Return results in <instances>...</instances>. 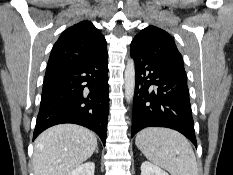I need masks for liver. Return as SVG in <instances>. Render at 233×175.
I'll return each instance as SVG.
<instances>
[{
    "label": "liver",
    "mask_w": 233,
    "mask_h": 175,
    "mask_svg": "<svg viewBox=\"0 0 233 175\" xmlns=\"http://www.w3.org/2000/svg\"><path fill=\"white\" fill-rule=\"evenodd\" d=\"M96 135L75 124H60L42 132L35 140L34 175H68L92 156Z\"/></svg>",
    "instance_id": "1"
}]
</instances>
